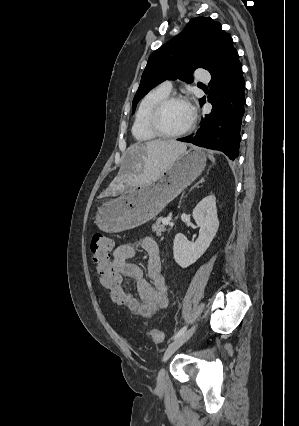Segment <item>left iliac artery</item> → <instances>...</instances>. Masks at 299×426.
Instances as JSON below:
<instances>
[{
  "mask_svg": "<svg viewBox=\"0 0 299 426\" xmlns=\"http://www.w3.org/2000/svg\"><path fill=\"white\" fill-rule=\"evenodd\" d=\"M187 329V326L182 327L173 337L172 340H176L178 337H180L182 334L185 333Z\"/></svg>",
  "mask_w": 299,
  "mask_h": 426,
  "instance_id": "44dca946",
  "label": "left iliac artery"
}]
</instances>
